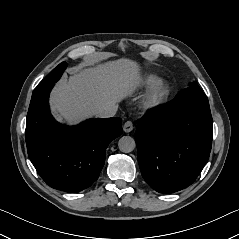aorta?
I'll list each match as a JSON object with an SVG mask.
<instances>
[{
	"instance_id": "762f6f07",
	"label": "aorta",
	"mask_w": 239,
	"mask_h": 239,
	"mask_svg": "<svg viewBox=\"0 0 239 239\" xmlns=\"http://www.w3.org/2000/svg\"><path fill=\"white\" fill-rule=\"evenodd\" d=\"M136 147L135 140L130 136H123L119 139L118 148L121 152H132Z\"/></svg>"
}]
</instances>
